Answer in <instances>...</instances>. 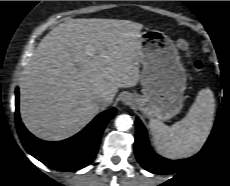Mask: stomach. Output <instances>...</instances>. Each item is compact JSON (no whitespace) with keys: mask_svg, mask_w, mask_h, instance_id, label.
Returning a JSON list of instances; mask_svg holds the SVG:
<instances>
[{"mask_svg":"<svg viewBox=\"0 0 230 186\" xmlns=\"http://www.w3.org/2000/svg\"><path fill=\"white\" fill-rule=\"evenodd\" d=\"M140 74L142 95L133 94V105L146 117L168 120L177 115L184 101L186 71L173 41L163 32L141 34Z\"/></svg>","mask_w":230,"mask_h":186,"instance_id":"1","label":"stomach"}]
</instances>
